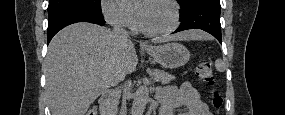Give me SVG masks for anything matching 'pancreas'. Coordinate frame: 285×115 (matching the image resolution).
<instances>
[{"mask_svg": "<svg viewBox=\"0 0 285 115\" xmlns=\"http://www.w3.org/2000/svg\"><path fill=\"white\" fill-rule=\"evenodd\" d=\"M151 75L154 76V80L160 81L162 84H169L172 80L175 79L174 76L158 69L153 70L151 72ZM119 96H120V90H114L111 93V102L114 106L118 103Z\"/></svg>", "mask_w": 285, "mask_h": 115, "instance_id": "obj_1", "label": "pancreas"}]
</instances>
